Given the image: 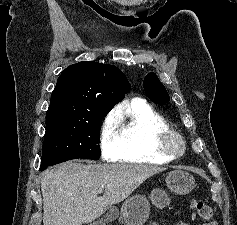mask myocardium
Instances as JSON below:
<instances>
[{
  "instance_id": "1",
  "label": "myocardium",
  "mask_w": 237,
  "mask_h": 225,
  "mask_svg": "<svg viewBox=\"0 0 237 225\" xmlns=\"http://www.w3.org/2000/svg\"><path fill=\"white\" fill-rule=\"evenodd\" d=\"M156 147L160 154L175 159L184 154L186 142L180 133L170 129L156 135Z\"/></svg>"
}]
</instances>
